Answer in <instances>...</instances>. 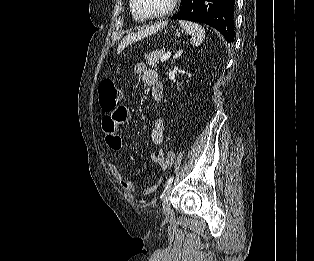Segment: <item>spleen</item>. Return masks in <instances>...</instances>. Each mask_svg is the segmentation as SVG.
<instances>
[{"label":"spleen","mask_w":314,"mask_h":261,"mask_svg":"<svg viewBox=\"0 0 314 261\" xmlns=\"http://www.w3.org/2000/svg\"><path fill=\"white\" fill-rule=\"evenodd\" d=\"M180 26L190 35L193 46L202 44L205 38V29L201 25L189 21H180Z\"/></svg>","instance_id":"1"}]
</instances>
